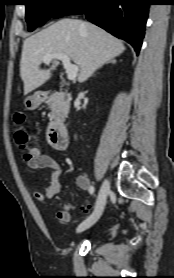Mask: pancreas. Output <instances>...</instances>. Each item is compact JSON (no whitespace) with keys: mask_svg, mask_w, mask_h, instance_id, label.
Wrapping results in <instances>:
<instances>
[{"mask_svg":"<svg viewBox=\"0 0 174 278\" xmlns=\"http://www.w3.org/2000/svg\"><path fill=\"white\" fill-rule=\"evenodd\" d=\"M51 109V118L55 120L64 119L70 108V97L64 92H60L51 97L48 100Z\"/></svg>","mask_w":174,"mask_h":278,"instance_id":"cf45deb5","label":"pancreas"}]
</instances>
